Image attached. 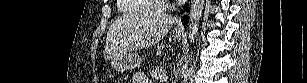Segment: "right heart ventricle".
Returning <instances> with one entry per match:
<instances>
[{"instance_id":"obj_1","label":"right heart ventricle","mask_w":307,"mask_h":83,"mask_svg":"<svg viewBox=\"0 0 307 83\" xmlns=\"http://www.w3.org/2000/svg\"><path fill=\"white\" fill-rule=\"evenodd\" d=\"M154 1L148 0H119V10L126 15L148 12L153 9Z\"/></svg>"}]
</instances>
